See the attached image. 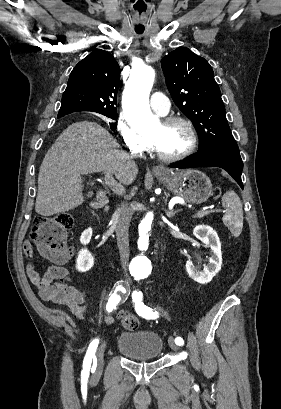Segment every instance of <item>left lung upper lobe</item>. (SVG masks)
Wrapping results in <instances>:
<instances>
[{
    "label": "left lung upper lobe",
    "mask_w": 281,
    "mask_h": 409,
    "mask_svg": "<svg viewBox=\"0 0 281 409\" xmlns=\"http://www.w3.org/2000/svg\"><path fill=\"white\" fill-rule=\"evenodd\" d=\"M161 66L175 104L194 124L199 150L239 151L210 64L180 47L162 58Z\"/></svg>",
    "instance_id": "1"
}]
</instances>
